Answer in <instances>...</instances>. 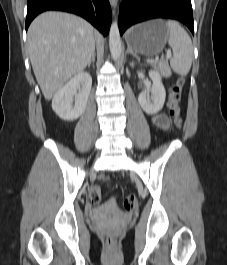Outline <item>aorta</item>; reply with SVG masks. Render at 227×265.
Returning <instances> with one entry per match:
<instances>
[{
  "mask_svg": "<svg viewBox=\"0 0 227 265\" xmlns=\"http://www.w3.org/2000/svg\"><path fill=\"white\" fill-rule=\"evenodd\" d=\"M109 47L113 60H118L121 55L122 44L120 39V32L118 23L116 21L112 22L109 31Z\"/></svg>",
  "mask_w": 227,
  "mask_h": 265,
  "instance_id": "1",
  "label": "aorta"
}]
</instances>
